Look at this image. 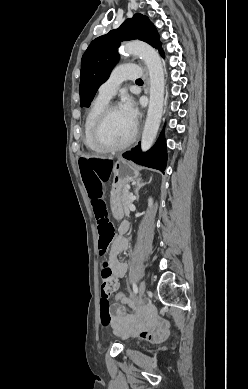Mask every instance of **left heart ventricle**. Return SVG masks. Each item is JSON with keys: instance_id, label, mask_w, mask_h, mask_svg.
Masks as SVG:
<instances>
[{"instance_id": "obj_1", "label": "left heart ventricle", "mask_w": 248, "mask_h": 389, "mask_svg": "<svg viewBox=\"0 0 248 389\" xmlns=\"http://www.w3.org/2000/svg\"><path fill=\"white\" fill-rule=\"evenodd\" d=\"M134 125L127 119L121 108L114 109L104 127V139L111 144H120L132 134Z\"/></svg>"}]
</instances>
